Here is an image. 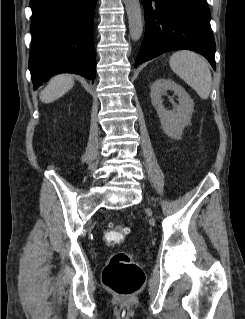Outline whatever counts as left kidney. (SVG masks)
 <instances>
[{
	"mask_svg": "<svg viewBox=\"0 0 245 319\" xmlns=\"http://www.w3.org/2000/svg\"><path fill=\"white\" fill-rule=\"evenodd\" d=\"M150 89L151 103L158 113L164 133L173 139H180L184 128L190 123L194 111L193 100L184 88L171 79H158ZM167 90L174 91L178 96L179 105L173 110H166L162 103L161 97Z\"/></svg>",
	"mask_w": 245,
	"mask_h": 319,
	"instance_id": "5707ae66",
	"label": "left kidney"
}]
</instances>
